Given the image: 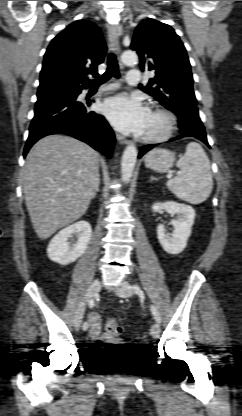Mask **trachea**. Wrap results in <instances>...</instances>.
I'll use <instances>...</instances> for the list:
<instances>
[{
  "label": "trachea",
  "mask_w": 242,
  "mask_h": 416,
  "mask_svg": "<svg viewBox=\"0 0 242 416\" xmlns=\"http://www.w3.org/2000/svg\"><path fill=\"white\" fill-rule=\"evenodd\" d=\"M107 65V70L103 75L94 80L88 81L91 87L100 86L101 84L107 82L111 77H120L119 66L115 54L110 53L108 55Z\"/></svg>",
  "instance_id": "3493384b"
}]
</instances>
